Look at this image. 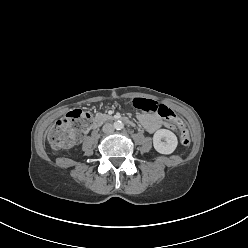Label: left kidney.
Listing matches in <instances>:
<instances>
[{
    "mask_svg": "<svg viewBox=\"0 0 248 248\" xmlns=\"http://www.w3.org/2000/svg\"><path fill=\"white\" fill-rule=\"evenodd\" d=\"M178 144L176 135L167 129H159L153 135V146L160 154H171Z\"/></svg>",
    "mask_w": 248,
    "mask_h": 248,
    "instance_id": "1",
    "label": "left kidney"
}]
</instances>
